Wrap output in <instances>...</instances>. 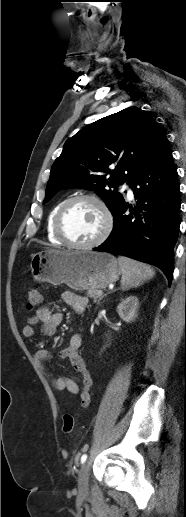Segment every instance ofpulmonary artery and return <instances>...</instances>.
Here are the masks:
<instances>
[{
	"label": "pulmonary artery",
	"mask_w": 186,
	"mask_h": 517,
	"mask_svg": "<svg viewBox=\"0 0 186 517\" xmlns=\"http://www.w3.org/2000/svg\"><path fill=\"white\" fill-rule=\"evenodd\" d=\"M123 188L126 190L128 198L133 199L134 194H133L131 187L128 184H124Z\"/></svg>",
	"instance_id": "1"
}]
</instances>
